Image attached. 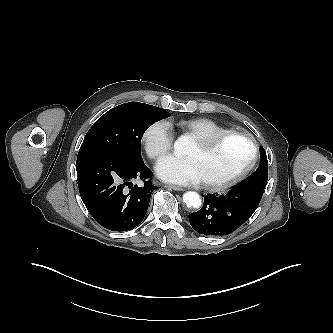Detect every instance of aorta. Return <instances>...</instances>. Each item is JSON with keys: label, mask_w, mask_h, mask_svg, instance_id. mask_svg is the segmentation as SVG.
I'll return each instance as SVG.
<instances>
[{"label": "aorta", "mask_w": 333, "mask_h": 333, "mask_svg": "<svg viewBox=\"0 0 333 333\" xmlns=\"http://www.w3.org/2000/svg\"><path fill=\"white\" fill-rule=\"evenodd\" d=\"M188 145V139L185 136L179 137L174 143V150L177 156L185 153ZM183 202L188 208H199L201 206V199L197 192L188 191L183 195Z\"/></svg>", "instance_id": "aorta-1"}]
</instances>
